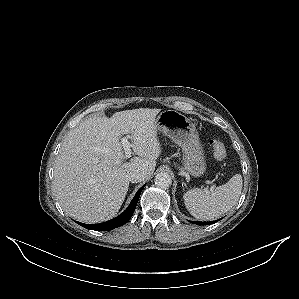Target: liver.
I'll use <instances>...</instances> for the list:
<instances>
[{"instance_id":"obj_1","label":"liver","mask_w":299,"mask_h":299,"mask_svg":"<svg viewBox=\"0 0 299 299\" xmlns=\"http://www.w3.org/2000/svg\"><path fill=\"white\" fill-rule=\"evenodd\" d=\"M160 109L116 112L90 117L70 130L55 161L53 190L62 209L84 223L116 216L129 189L128 174L143 170L149 179L161 153L156 116ZM122 135L137 155L125 161Z\"/></svg>"}]
</instances>
